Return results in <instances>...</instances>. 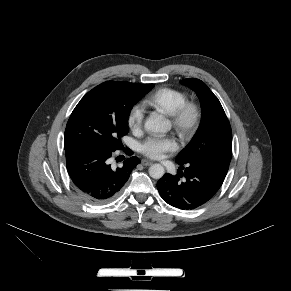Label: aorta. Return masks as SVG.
Instances as JSON below:
<instances>
[{"label":"aorta","mask_w":291,"mask_h":291,"mask_svg":"<svg viewBox=\"0 0 291 291\" xmlns=\"http://www.w3.org/2000/svg\"><path fill=\"white\" fill-rule=\"evenodd\" d=\"M144 128L148 132L167 133L170 130V123L162 115L150 116ZM165 169L161 164H153L149 167V175L154 179H160L164 176Z\"/></svg>","instance_id":"1"}]
</instances>
